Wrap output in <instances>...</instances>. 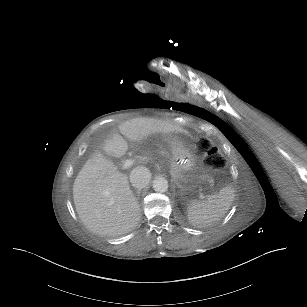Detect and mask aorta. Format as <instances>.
Wrapping results in <instances>:
<instances>
[{
    "mask_svg": "<svg viewBox=\"0 0 307 307\" xmlns=\"http://www.w3.org/2000/svg\"><path fill=\"white\" fill-rule=\"evenodd\" d=\"M169 184L167 179H165L164 177H156L153 180V189L156 192H166L168 190Z\"/></svg>",
    "mask_w": 307,
    "mask_h": 307,
    "instance_id": "1",
    "label": "aorta"
}]
</instances>
